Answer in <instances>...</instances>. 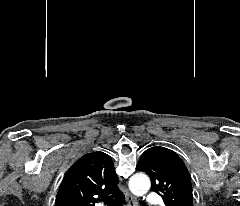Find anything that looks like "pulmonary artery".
Returning a JSON list of instances; mask_svg holds the SVG:
<instances>
[{
  "label": "pulmonary artery",
  "mask_w": 240,
  "mask_h": 206,
  "mask_svg": "<svg viewBox=\"0 0 240 206\" xmlns=\"http://www.w3.org/2000/svg\"><path fill=\"white\" fill-rule=\"evenodd\" d=\"M147 202L149 204H161L162 200L157 194L151 193L147 196Z\"/></svg>",
  "instance_id": "pulmonary-artery-1"
}]
</instances>
